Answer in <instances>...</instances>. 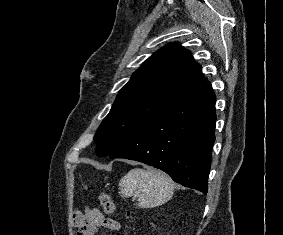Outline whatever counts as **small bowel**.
<instances>
[{
    "label": "small bowel",
    "instance_id": "c3829d8e",
    "mask_svg": "<svg viewBox=\"0 0 283 235\" xmlns=\"http://www.w3.org/2000/svg\"><path fill=\"white\" fill-rule=\"evenodd\" d=\"M73 218L77 229L76 235H95L99 227L110 231H118L121 228L118 220L105 217L95 208H86L83 212L75 211Z\"/></svg>",
    "mask_w": 283,
    "mask_h": 235
}]
</instances>
